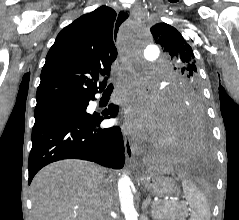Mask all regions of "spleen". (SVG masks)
<instances>
[{
  "mask_svg": "<svg viewBox=\"0 0 239 220\" xmlns=\"http://www.w3.org/2000/svg\"><path fill=\"white\" fill-rule=\"evenodd\" d=\"M185 199L191 209L189 220H210V207L204 194L187 179L182 180Z\"/></svg>",
  "mask_w": 239,
  "mask_h": 220,
  "instance_id": "1",
  "label": "spleen"
}]
</instances>
